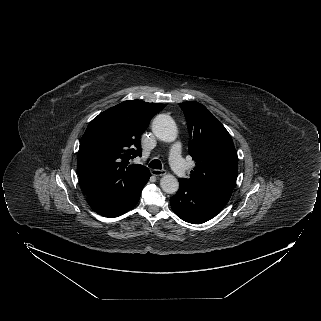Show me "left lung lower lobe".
Wrapping results in <instances>:
<instances>
[{
    "mask_svg": "<svg viewBox=\"0 0 321 321\" xmlns=\"http://www.w3.org/2000/svg\"><path fill=\"white\" fill-rule=\"evenodd\" d=\"M179 190L171 197L172 210L184 221L204 223L216 216L229 201L232 191L194 186L179 179Z\"/></svg>",
    "mask_w": 321,
    "mask_h": 321,
    "instance_id": "1",
    "label": "left lung lower lobe"
}]
</instances>
